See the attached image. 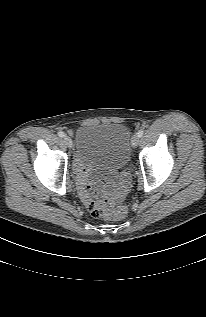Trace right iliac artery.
Returning <instances> with one entry per match:
<instances>
[{"instance_id":"1","label":"right iliac artery","mask_w":206,"mask_h":317,"mask_svg":"<svg viewBox=\"0 0 206 317\" xmlns=\"http://www.w3.org/2000/svg\"><path fill=\"white\" fill-rule=\"evenodd\" d=\"M58 136L62 138L65 136V134H64V132L60 131V132H58Z\"/></svg>"}]
</instances>
